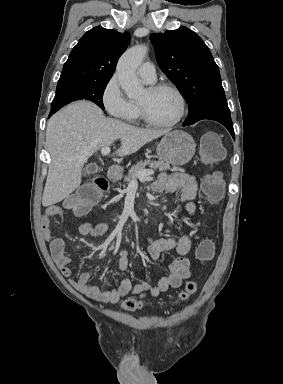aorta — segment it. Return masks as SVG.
<instances>
[{
    "mask_svg": "<svg viewBox=\"0 0 283 384\" xmlns=\"http://www.w3.org/2000/svg\"><path fill=\"white\" fill-rule=\"evenodd\" d=\"M145 45L128 49L119 59L116 68L119 83L129 98L135 99L144 93V87L136 77V69L147 54Z\"/></svg>",
    "mask_w": 283,
    "mask_h": 384,
    "instance_id": "1",
    "label": "aorta"
}]
</instances>
